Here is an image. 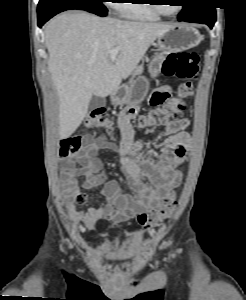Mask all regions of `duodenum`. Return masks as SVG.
Returning a JSON list of instances; mask_svg holds the SVG:
<instances>
[{
  "label": "duodenum",
  "mask_w": 246,
  "mask_h": 300,
  "mask_svg": "<svg viewBox=\"0 0 246 300\" xmlns=\"http://www.w3.org/2000/svg\"><path fill=\"white\" fill-rule=\"evenodd\" d=\"M116 94H119V91L116 92ZM114 94H111V98H113Z\"/></svg>",
  "instance_id": "obj_1"
}]
</instances>
